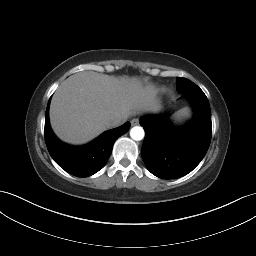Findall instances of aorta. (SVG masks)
<instances>
[{"mask_svg": "<svg viewBox=\"0 0 256 256\" xmlns=\"http://www.w3.org/2000/svg\"><path fill=\"white\" fill-rule=\"evenodd\" d=\"M144 135V129L141 126H135L130 130V136L135 141L142 140Z\"/></svg>", "mask_w": 256, "mask_h": 256, "instance_id": "obj_1", "label": "aorta"}]
</instances>
